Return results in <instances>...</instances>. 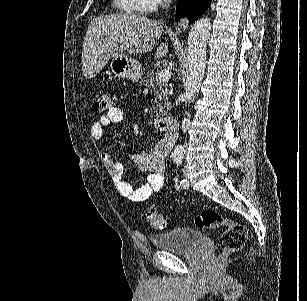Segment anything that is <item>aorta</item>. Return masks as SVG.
I'll return each mask as SVG.
<instances>
[{
	"label": "aorta",
	"instance_id": "762f6f07",
	"mask_svg": "<svg viewBox=\"0 0 307 301\" xmlns=\"http://www.w3.org/2000/svg\"><path fill=\"white\" fill-rule=\"evenodd\" d=\"M212 22L210 18H199L191 26L188 36L187 64L185 70L184 102H192L196 98L202 84L204 70L206 68V44L211 32ZM179 151V148H177Z\"/></svg>",
	"mask_w": 307,
	"mask_h": 301
}]
</instances>
